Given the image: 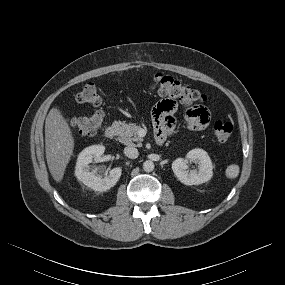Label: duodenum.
I'll list each match as a JSON object with an SVG mask.
<instances>
[{
	"mask_svg": "<svg viewBox=\"0 0 285 285\" xmlns=\"http://www.w3.org/2000/svg\"><path fill=\"white\" fill-rule=\"evenodd\" d=\"M117 135V127L116 126H108L104 130V137L108 140H112L116 137ZM164 141L163 137L158 138L159 144H162Z\"/></svg>",
	"mask_w": 285,
	"mask_h": 285,
	"instance_id": "obj_1",
	"label": "duodenum"
}]
</instances>
